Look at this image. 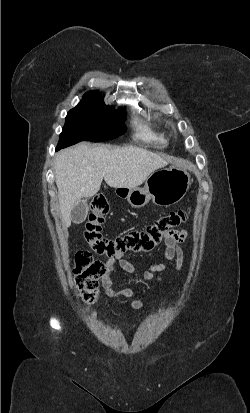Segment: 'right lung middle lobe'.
I'll list each match as a JSON object with an SVG mask.
<instances>
[{
	"label": "right lung middle lobe",
	"instance_id": "right-lung-middle-lobe-1",
	"mask_svg": "<svg viewBox=\"0 0 250 413\" xmlns=\"http://www.w3.org/2000/svg\"><path fill=\"white\" fill-rule=\"evenodd\" d=\"M126 113L106 106L99 94H85L81 102L70 110L56 150L83 140L102 142L117 138L125 132Z\"/></svg>",
	"mask_w": 250,
	"mask_h": 413
}]
</instances>
